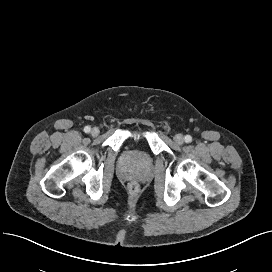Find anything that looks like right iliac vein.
<instances>
[{
	"label": "right iliac vein",
	"mask_w": 272,
	"mask_h": 272,
	"mask_svg": "<svg viewBox=\"0 0 272 272\" xmlns=\"http://www.w3.org/2000/svg\"><path fill=\"white\" fill-rule=\"evenodd\" d=\"M99 133H100V131H99V129H98L97 127L92 128V130H91V135H92L93 137L98 136Z\"/></svg>",
	"instance_id": "1"
}]
</instances>
